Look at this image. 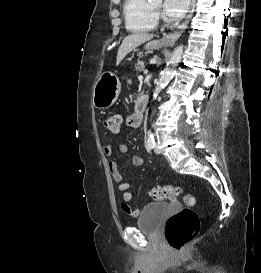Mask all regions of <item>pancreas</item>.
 Instances as JSON below:
<instances>
[{
    "instance_id": "pancreas-1",
    "label": "pancreas",
    "mask_w": 261,
    "mask_h": 273,
    "mask_svg": "<svg viewBox=\"0 0 261 273\" xmlns=\"http://www.w3.org/2000/svg\"><path fill=\"white\" fill-rule=\"evenodd\" d=\"M145 68L144 61H138L137 64H135L136 71H142Z\"/></svg>"
}]
</instances>
